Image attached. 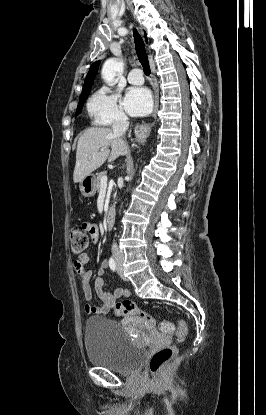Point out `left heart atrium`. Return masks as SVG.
I'll list each match as a JSON object with an SVG mask.
<instances>
[{
    "mask_svg": "<svg viewBox=\"0 0 266 415\" xmlns=\"http://www.w3.org/2000/svg\"><path fill=\"white\" fill-rule=\"evenodd\" d=\"M123 105L131 115H145L152 107L151 94L145 88H130L125 96Z\"/></svg>",
    "mask_w": 266,
    "mask_h": 415,
    "instance_id": "1",
    "label": "left heart atrium"
}]
</instances>
